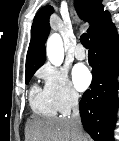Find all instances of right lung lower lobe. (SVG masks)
Masks as SVG:
<instances>
[{
  "label": "right lung lower lobe",
  "mask_w": 119,
  "mask_h": 141,
  "mask_svg": "<svg viewBox=\"0 0 119 141\" xmlns=\"http://www.w3.org/2000/svg\"><path fill=\"white\" fill-rule=\"evenodd\" d=\"M90 41L88 60L93 81L79 103L82 124L95 141H113L118 107L119 39L110 17L96 28Z\"/></svg>",
  "instance_id": "1"
}]
</instances>
